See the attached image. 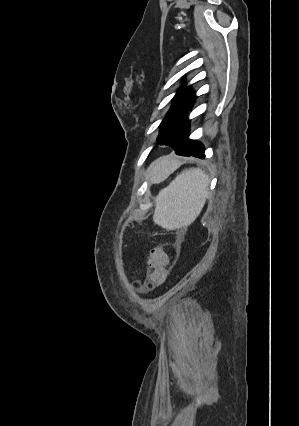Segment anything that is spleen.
Wrapping results in <instances>:
<instances>
[{"label": "spleen", "instance_id": "obj_1", "mask_svg": "<svg viewBox=\"0 0 299 426\" xmlns=\"http://www.w3.org/2000/svg\"><path fill=\"white\" fill-rule=\"evenodd\" d=\"M208 175L199 168L182 171L156 198L153 220L167 230L190 225L200 214L207 195Z\"/></svg>", "mask_w": 299, "mask_h": 426}]
</instances>
